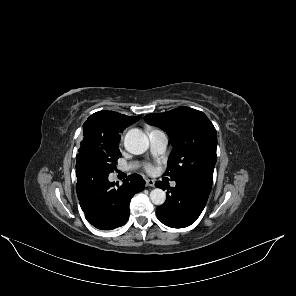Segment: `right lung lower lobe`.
Segmentation results:
<instances>
[{
	"label": "right lung lower lobe",
	"mask_w": 296,
	"mask_h": 296,
	"mask_svg": "<svg viewBox=\"0 0 296 296\" xmlns=\"http://www.w3.org/2000/svg\"><path fill=\"white\" fill-rule=\"evenodd\" d=\"M108 175L95 159L82 154L76 156V190L81 209L87 221L101 230L124 225L131 198L145 188L140 175H130L120 186L109 182Z\"/></svg>",
	"instance_id": "1"
}]
</instances>
